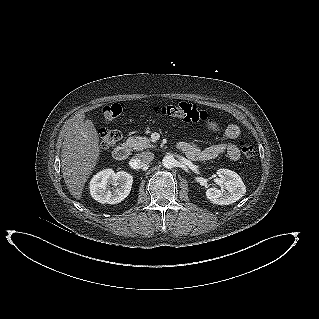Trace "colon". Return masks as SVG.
I'll return each instance as SVG.
<instances>
[{
    "mask_svg": "<svg viewBox=\"0 0 319 319\" xmlns=\"http://www.w3.org/2000/svg\"><path fill=\"white\" fill-rule=\"evenodd\" d=\"M124 105L122 103H113L104 106L102 113L107 122L115 120L123 112ZM154 111L163 116L178 119L184 122H201L209 119V113L190 103L180 102L170 105L158 106ZM100 144L102 148L108 149L114 146L121 139V133L115 129L103 128L99 132ZM240 148L242 154L252 159L255 156V148L247 141H241Z\"/></svg>",
    "mask_w": 319,
    "mask_h": 319,
    "instance_id": "1",
    "label": "colon"
}]
</instances>
